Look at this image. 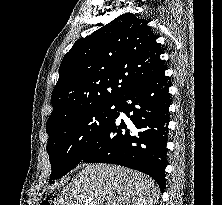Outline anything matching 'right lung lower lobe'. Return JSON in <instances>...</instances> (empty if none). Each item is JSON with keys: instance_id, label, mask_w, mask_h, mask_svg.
Wrapping results in <instances>:
<instances>
[{"instance_id": "1", "label": "right lung lower lobe", "mask_w": 222, "mask_h": 205, "mask_svg": "<svg viewBox=\"0 0 222 205\" xmlns=\"http://www.w3.org/2000/svg\"><path fill=\"white\" fill-rule=\"evenodd\" d=\"M165 70L125 93L117 110L125 113L131 123L120 119L117 111L112 122L93 140L82 161L118 164L141 171L164 191L170 106Z\"/></svg>"}]
</instances>
